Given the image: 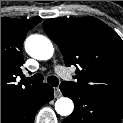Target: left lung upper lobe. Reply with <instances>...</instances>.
Here are the masks:
<instances>
[{
    "label": "left lung upper lobe",
    "mask_w": 123,
    "mask_h": 123,
    "mask_svg": "<svg viewBox=\"0 0 123 123\" xmlns=\"http://www.w3.org/2000/svg\"><path fill=\"white\" fill-rule=\"evenodd\" d=\"M66 66H76V89L123 102V41L93 17L53 18L43 23Z\"/></svg>",
    "instance_id": "left-lung-upper-lobe-1"
}]
</instances>
